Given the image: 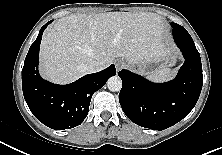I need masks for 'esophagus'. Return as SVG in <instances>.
Listing matches in <instances>:
<instances>
[{"mask_svg": "<svg viewBox=\"0 0 222 155\" xmlns=\"http://www.w3.org/2000/svg\"><path fill=\"white\" fill-rule=\"evenodd\" d=\"M115 67H116L117 72H119L124 67V62L121 60H117L115 62Z\"/></svg>", "mask_w": 222, "mask_h": 155, "instance_id": "34e87169", "label": "esophagus"}]
</instances>
